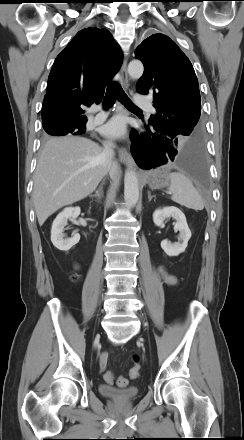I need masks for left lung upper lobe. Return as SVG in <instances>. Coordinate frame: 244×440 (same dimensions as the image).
Here are the masks:
<instances>
[{
    "label": "left lung upper lobe",
    "mask_w": 244,
    "mask_h": 440,
    "mask_svg": "<svg viewBox=\"0 0 244 440\" xmlns=\"http://www.w3.org/2000/svg\"><path fill=\"white\" fill-rule=\"evenodd\" d=\"M135 56L144 64L137 92L152 95L157 112L149 122L157 123L175 141L181 136L200 137V92L188 57L171 38L160 33L146 38Z\"/></svg>",
    "instance_id": "5c2ea615"
}]
</instances>
